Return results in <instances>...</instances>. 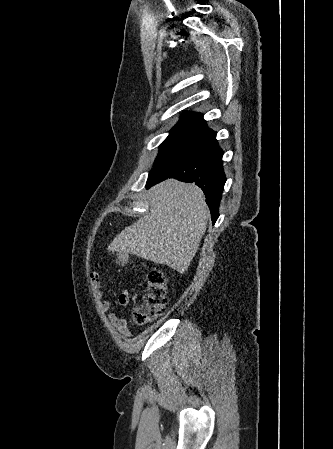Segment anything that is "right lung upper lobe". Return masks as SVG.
Here are the masks:
<instances>
[{
	"label": "right lung upper lobe",
	"instance_id": "right-lung-upper-lobe-1",
	"mask_svg": "<svg viewBox=\"0 0 333 449\" xmlns=\"http://www.w3.org/2000/svg\"><path fill=\"white\" fill-rule=\"evenodd\" d=\"M175 126L196 128L202 131L208 129L206 121L203 119V115L194 112L184 114Z\"/></svg>",
	"mask_w": 333,
	"mask_h": 449
}]
</instances>
